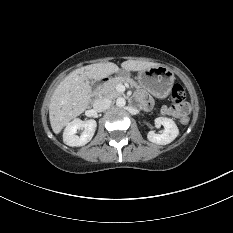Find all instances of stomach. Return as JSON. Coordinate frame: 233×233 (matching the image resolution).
Listing matches in <instances>:
<instances>
[{
	"label": "stomach",
	"mask_w": 233,
	"mask_h": 233,
	"mask_svg": "<svg viewBox=\"0 0 233 233\" xmlns=\"http://www.w3.org/2000/svg\"><path fill=\"white\" fill-rule=\"evenodd\" d=\"M118 74L128 75V71ZM174 80L173 71L165 66L151 67L138 74L140 86L159 99H164L170 94Z\"/></svg>",
	"instance_id": "0dacf381"
}]
</instances>
